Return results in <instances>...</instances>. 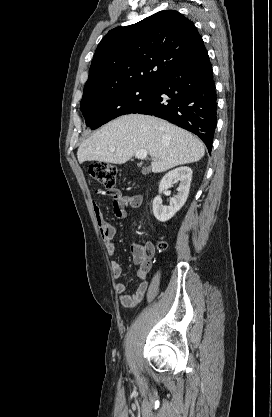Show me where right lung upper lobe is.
<instances>
[{"label":"right lung upper lobe","mask_w":272,"mask_h":417,"mask_svg":"<svg viewBox=\"0 0 272 417\" xmlns=\"http://www.w3.org/2000/svg\"><path fill=\"white\" fill-rule=\"evenodd\" d=\"M194 24L174 10L110 30L94 54L83 95L101 96L155 83L202 47Z\"/></svg>","instance_id":"1"}]
</instances>
